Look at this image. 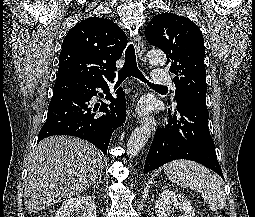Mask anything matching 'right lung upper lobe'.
<instances>
[{
  "instance_id": "cb5924a9",
  "label": "right lung upper lobe",
  "mask_w": 255,
  "mask_h": 217,
  "mask_svg": "<svg viewBox=\"0 0 255 217\" xmlns=\"http://www.w3.org/2000/svg\"><path fill=\"white\" fill-rule=\"evenodd\" d=\"M125 38L120 27L105 18L93 17L78 23L63 40L56 83L112 79Z\"/></svg>"
}]
</instances>
